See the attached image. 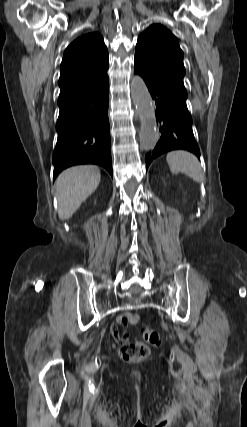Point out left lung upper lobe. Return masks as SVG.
Listing matches in <instances>:
<instances>
[{
	"label": "left lung upper lobe",
	"instance_id": "obj_1",
	"mask_svg": "<svg viewBox=\"0 0 247 427\" xmlns=\"http://www.w3.org/2000/svg\"><path fill=\"white\" fill-rule=\"evenodd\" d=\"M135 63L149 75L187 96L185 68L178 39L160 24H152L138 37Z\"/></svg>",
	"mask_w": 247,
	"mask_h": 427
}]
</instances>
